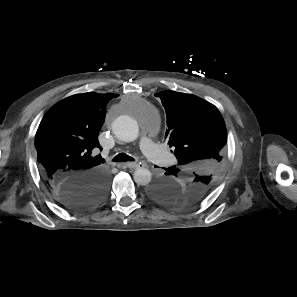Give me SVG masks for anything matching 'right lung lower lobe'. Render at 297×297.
I'll return each instance as SVG.
<instances>
[{"instance_id": "98d812e1", "label": "right lung lower lobe", "mask_w": 297, "mask_h": 297, "mask_svg": "<svg viewBox=\"0 0 297 297\" xmlns=\"http://www.w3.org/2000/svg\"><path fill=\"white\" fill-rule=\"evenodd\" d=\"M106 172H92L78 180H71L55 186L53 197L71 210H87L98 205L108 191Z\"/></svg>"}]
</instances>
